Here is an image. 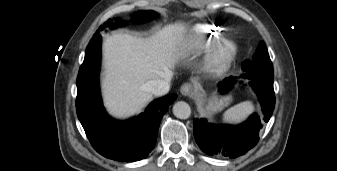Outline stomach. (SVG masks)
<instances>
[{"label":"stomach","mask_w":337,"mask_h":171,"mask_svg":"<svg viewBox=\"0 0 337 171\" xmlns=\"http://www.w3.org/2000/svg\"><path fill=\"white\" fill-rule=\"evenodd\" d=\"M230 102V97L218 98L213 96L207 105V111L210 113L216 112L224 108Z\"/></svg>","instance_id":"1"}]
</instances>
